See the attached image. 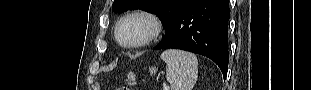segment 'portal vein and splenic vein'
I'll return each mask as SVG.
<instances>
[{"label": "portal vein and splenic vein", "mask_w": 311, "mask_h": 90, "mask_svg": "<svg viewBox=\"0 0 311 90\" xmlns=\"http://www.w3.org/2000/svg\"><path fill=\"white\" fill-rule=\"evenodd\" d=\"M163 89H164V90H169V86H167L166 84H164Z\"/></svg>", "instance_id": "portal-vein-and-splenic-vein-1"}]
</instances>
